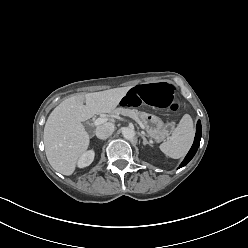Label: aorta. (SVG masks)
<instances>
[{
  "label": "aorta",
  "instance_id": "obj_1",
  "mask_svg": "<svg viewBox=\"0 0 248 248\" xmlns=\"http://www.w3.org/2000/svg\"><path fill=\"white\" fill-rule=\"evenodd\" d=\"M122 135L125 139L131 140L135 137V130L131 127H125L122 130Z\"/></svg>",
  "mask_w": 248,
  "mask_h": 248
}]
</instances>
